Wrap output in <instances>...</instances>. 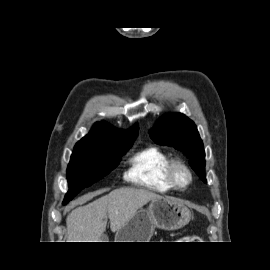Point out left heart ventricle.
I'll return each mask as SVG.
<instances>
[{
	"mask_svg": "<svg viewBox=\"0 0 270 270\" xmlns=\"http://www.w3.org/2000/svg\"><path fill=\"white\" fill-rule=\"evenodd\" d=\"M177 177L180 183L184 184L187 182L188 177L184 171L182 170L178 171Z\"/></svg>",
	"mask_w": 270,
	"mask_h": 270,
	"instance_id": "b2bd125f",
	"label": "left heart ventricle"
}]
</instances>
